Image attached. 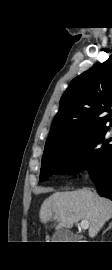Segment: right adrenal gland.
Wrapping results in <instances>:
<instances>
[{"label":"right adrenal gland","mask_w":112,"mask_h":270,"mask_svg":"<svg viewBox=\"0 0 112 270\" xmlns=\"http://www.w3.org/2000/svg\"><path fill=\"white\" fill-rule=\"evenodd\" d=\"M111 228H112V221L110 222L108 228L103 232V234L106 233V231H108V230L111 229Z\"/></svg>","instance_id":"right-adrenal-gland-1"}]
</instances>
